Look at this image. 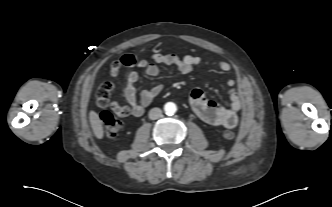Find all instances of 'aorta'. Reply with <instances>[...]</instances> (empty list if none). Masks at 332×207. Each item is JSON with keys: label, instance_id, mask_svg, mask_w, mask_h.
<instances>
[{"label": "aorta", "instance_id": "obj_1", "mask_svg": "<svg viewBox=\"0 0 332 207\" xmlns=\"http://www.w3.org/2000/svg\"><path fill=\"white\" fill-rule=\"evenodd\" d=\"M177 110L175 103L168 102L164 105V111L167 115H173Z\"/></svg>", "mask_w": 332, "mask_h": 207}]
</instances>
